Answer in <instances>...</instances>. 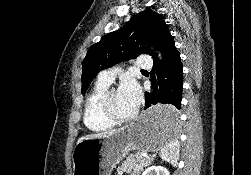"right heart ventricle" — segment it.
Returning <instances> with one entry per match:
<instances>
[{
	"label": "right heart ventricle",
	"instance_id": "right-heart-ventricle-1",
	"mask_svg": "<svg viewBox=\"0 0 251 175\" xmlns=\"http://www.w3.org/2000/svg\"><path fill=\"white\" fill-rule=\"evenodd\" d=\"M109 84L97 80L89 91L83 106V122L91 132H104L113 127V123L105 119L99 111V99Z\"/></svg>",
	"mask_w": 251,
	"mask_h": 175
}]
</instances>
